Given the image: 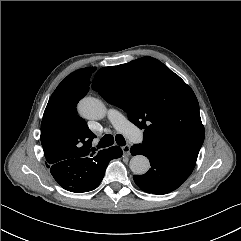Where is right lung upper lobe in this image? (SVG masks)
Wrapping results in <instances>:
<instances>
[{"label":"right lung upper lobe","instance_id":"right-lung-upper-lobe-1","mask_svg":"<svg viewBox=\"0 0 241 241\" xmlns=\"http://www.w3.org/2000/svg\"><path fill=\"white\" fill-rule=\"evenodd\" d=\"M95 69L88 67L71 73L50 97L40 136L46 161L84 157L94 151L91 142L96 136L77 115L76 104L87 94Z\"/></svg>","mask_w":241,"mask_h":241}]
</instances>
